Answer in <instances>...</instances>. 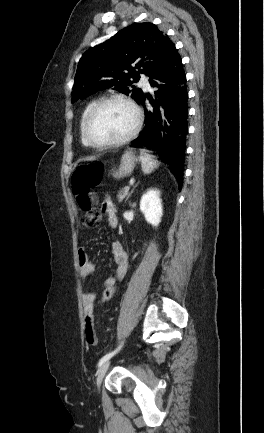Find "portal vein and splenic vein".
<instances>
[{
  "label": "portal vein and splenic vein",
  "instance_id": "portal-vein-and-splenic-vein-1",
  "mask_svg": "<svg viewBox=\"0 0 264 433\" xmlns=\"http://www.w3.org/2000/svg\"><path fill=\"white\" fill-rule=\"evenodd\" d=\"M129 187L128 186H126L125 188H124V191L126 192V193H128V191H129Z\"/></svg>",
  "mask_w": 264,
  "mask_h": 433
}]
</instances>
